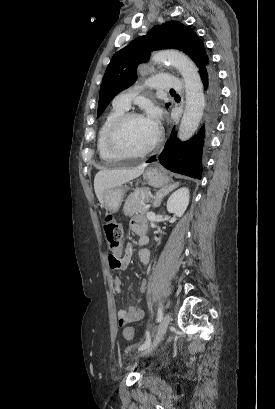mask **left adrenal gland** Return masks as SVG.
Listing matches in <instances>:
<instances>
[{"mask_svg":"<svg viewBox=\"0 0 275 409\" xmlns=\"http://www.w3.org/2000/svg\"><path fill=\"white\" fill-rule=\"evenodd\" d=\"M179 186V182H170V184H166V186H162V188H159V190H156L155 196H153V207H160L161 205V200L168 194V192H171V190H174V188H177Z\"/></svg>","mask_w":275,"mask_h":409,"instance_id":"a2214340","label":"left adrenal gland"}]
</instances>
